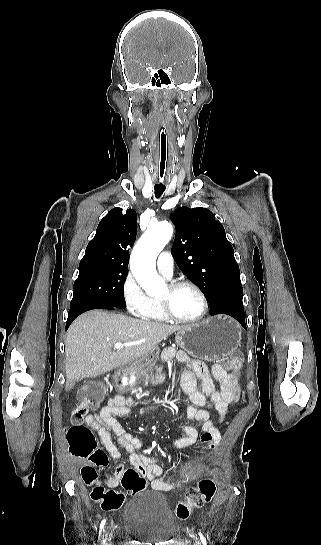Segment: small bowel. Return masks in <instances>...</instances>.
Returning <instances> with one entry per match:
<instances>
[{
	"label": "small bowel",
	"instance_id": "obj_1",
	"mask_svg": "<svg viewBox=\"0 0 321 545\" xmlns=\"http://www.w3.org/2000/svg\"><path fill=\"white\" fill-rule=\"evenodd\" d=\"M188 362L189 368L182 373L180 379L181 388L188 396V400H185L187 418L202 422L203 434L200 440L207 448H211L219 443L221 436L210 418V413L202 408H212L219 415L220 422H223L228 406L239 399L240 389L237 378L227 373L221 365L213 364L209 371L207 365L202 361L188 360ZM198 381L201 382V389L197 387ZM214 381L219 384L218 389L215 387ZM133 404V399L118 395L109 399L99 413L88 415L85 418L86 426L99 435L109 457L118 461L119 464L112 476L106 477L103 482L99 481L95 467L108 465V456L102 452L99 457L89 459L90 464L82 468L84 482L90 486L104 484L111 489L120 483L124 473V464L120 462L121 453L112 439V435H114L117 443L128 453L129 462L134 470L141 476L148 478L154 489L167 492L179 488L180 483H168L159 479L163 471L158 465V458L148 456L141 440L125 431L117 421L116 417L130 413ZM156 409L157 405L147 408L144 413L148 414ZM180 430L184 434L183 437L170 443L169 448L179 450L197 441L198 432L194 427L183 425Z\"/></svg>",
	"mask_w": 321,
	"mask_h": 545
}]
</instances>
